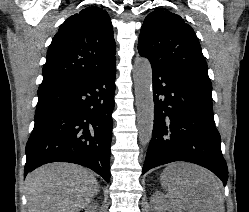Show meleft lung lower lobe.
<instances>
[{
	"label": "left lung lower lobe",
	"mask_w": 249,
	"mask_h": 212,
	"mask_svg": "<svg viewBox=\"0 0 249 212\" xmlns=\"http://www.w3.org/2000/svg\"><path fill=\"white\" fill-rule=\"evenodd\" d=\"M151 64L154 125L142 174L186 161L211 170L225 185L228 171L214 123L211 83Z\"/></svg>",
	"instance_id": "obj_1"
}]
</instances>
